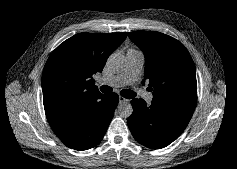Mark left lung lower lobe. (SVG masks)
Returning <instances> with one entry per match:
<instances>
[{"mask_svg":"<svg viewBox=\"0 0 237 169\" xmlns=\"http://www.w3.org/2000/svg\"><path fill=\"white\" fill-rule=\"evenodd\" d=\"M133 113L128 126L133 137L142 145L160 149L173 142L188 125L193 112L152 100L147 107L143 99L131 101Z\"/></svg>","mask_w":237,"mask_h":169,"instance_id":"left-lung-lower-lobe-1","label":"left lung lower lobe"}]
</instances>
